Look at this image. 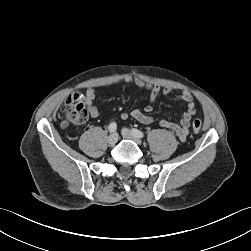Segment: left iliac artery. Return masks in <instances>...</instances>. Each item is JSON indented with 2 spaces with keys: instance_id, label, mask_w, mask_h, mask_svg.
Masks as SVG:
<instances>
[{
  "instance_id": "obj_1",
  "label": "left iliac artery",
  "mask_w": 251,
  "mask_h": 251,
  "mask_svg": "<svg viewBox=\"0 0 251 251\" xmlns=\"http://www.w3.org/2000/svg\"><path fill=\"white\" fill-rule=\"evenodd\" d=\"M132 132L140 138L144 137V133L138 129H132Z\"/></svg>"
}]
</instances>
